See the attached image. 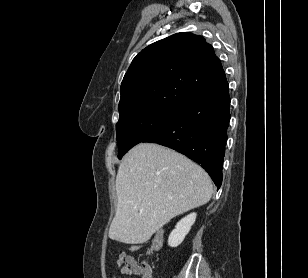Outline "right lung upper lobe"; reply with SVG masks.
Returning <instances> with one entry per match:
<instances>
[{
  "instance_id": "1",
  "label": "right lung upper lobe",
  "mask_w": 308,
  "mask_h": 278,
  "mask_svg": "<svg viewBox=\"0 0 308 278\" xmlns=\"http://www.w3.org/2000/svg\"><path fill=\"white\" fill-rule=\"evenodd\" d=\"M226 83L220 59L203 37L174 34L133 59L121 83L119 120L148 109H178Z\"/></svg>"
}]
</instances>
